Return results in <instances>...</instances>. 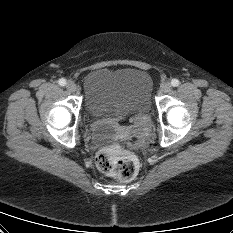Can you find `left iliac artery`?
<instances>
[{
  "mask_svg": "<svg viewBox=\"0 0 233 233\" xmlns=\"http://www.w3.org/2000/svg\"><path fill=\"white\" fill-rule=\"evenodd\" d=\"M179 84H180V82H179L178 79H172L171 85H172L173 87H177Z\"/></svg>",
  "mask_w": 233,
  "mask_h": 233,
  "instance_id": "1",
  "label": "left iliac artery"
}]
</instances>
